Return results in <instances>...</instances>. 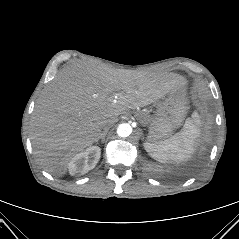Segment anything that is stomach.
Segmentation results:
<instances>
[{
	"mask_svg": "<svg viewBox=\"0 0 239 239\" xmlns=\"http://www.w3.org/2000/svg\"><path fill=\"white\" fill-rule=\"evenodd\" d=\"M187 113L186 88L171 92L168 97L157 104L151 115L149 142H161L172 136L173 131L182 125Z\"/></svg>",
	"mask_w": 239,
	"mask_h": 239,
	"instance_id": "1",
	"label": "stomach"
}]
</instances>
